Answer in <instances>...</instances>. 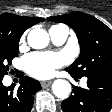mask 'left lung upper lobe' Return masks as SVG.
Listing matches in <instances>:
<instances>
[{"mask_svg": "<svg viewBox=\"0 0 112 112\" xmlns=\"http://www.w3.org/2000/svg\"><path fill=\"white\" fill-rule=\"evenodd\" d=\"M65 23L76 33L80 56L66 70L78 78L99 73H112V30L95 17L81 12L48 17Z\"/></svg>", "mask_w": 112, "mask_h": 112, "instance_id": "left-lung-upper-lobe-1", "label": "left lung upper lobe"}]
</instances>
